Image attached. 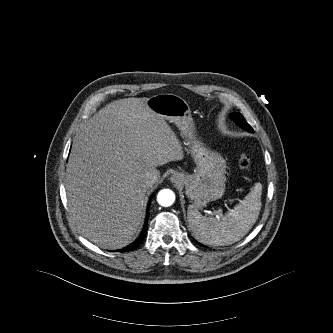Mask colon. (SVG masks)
Segmentation results:
<instances>
[{"instance_id": "1", "label": "colon", "mask_w": 333, "mask_h": 333, "mask_svg": "<svg viewBox=\"0 0 333 333\" xmlns=\"http://www.w3.org/2000/svg\"><path fill=\"white\" fill-rule=\"evenodd\" d=\"M239 167L243 171H248L251 168V159L247 154H242L239 159Z\"/></svg>"}]
</instances>
